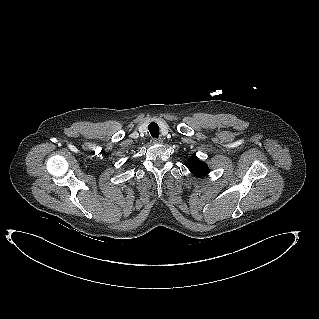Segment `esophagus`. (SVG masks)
Segmentation results:
<instances>
[{
    "label": "esophagus",
    "instance_id": "obj_1",
    "mask_svg": "<svg viewBox=\"0 0 319 319\" xmlns=\"http://www.w3.org/2000/svg\"><path fill=\"white\" fill-rule=\"evenodd\" d=\"M162 142H163V140L161 138H153V143H155V144H160Z\"/></svg>",
    "mask_w": 319,
    "mask_h": 319
}]
</instances>
